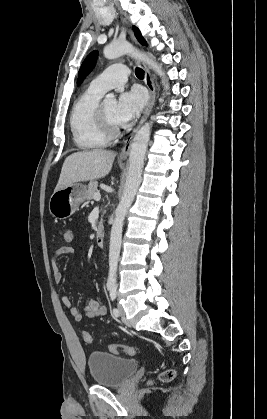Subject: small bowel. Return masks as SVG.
Here are the masks:
<instances>
[{
  "label": "small bowel",
  "mask_w": 267,
  "mask_h": 419,
  "mask_svg": "<svg viewBox=\"0 0 267 419\" xmlns=\"http://www.w3.org/2000/svg\"><path fill=\"white\" fill-rule=\"evenodd\" d=\"M76 252L75 246L64 245L61 246L55 253V256L51 263L53 278L55 282L60 283L63 279V274L58 265V259L65 255L74 254ZM62 305L68 309L70 315L75 321H81L83 316L90 319H97L106 314L105 306L101 305L96 300H90L87 302L84 312H81L76 306L73 305L72 300L69 296L64 295L61 298Z\"/></svg>",
  "instance_id": "c3829d8e"
}]
</instances>
